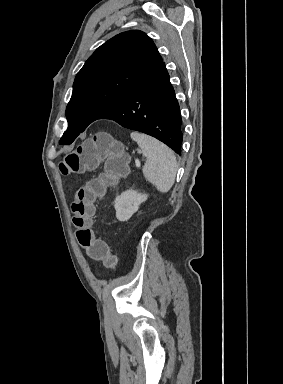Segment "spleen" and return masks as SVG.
I'll list each match as a JSON object with an SVG mask.
<instances>
[{"label": "spleen", "mask_w": 283, "mask_h": 384, "mask_svg": "<svg viewBox=\"0 0 283 384\" xmlns=\"http://www.w3.org/2000/svg\"><path fill=\"white\" fill-rule=\"evenodd\" d=\"M131 138L137 142L146 158V164L143 166L144 178L153 184L158 192H163V194L169 192L177 174L174 152L159 140L146 136V134L132 132Z\"/></svg>", "instance_id": "1"}]
</instances>
